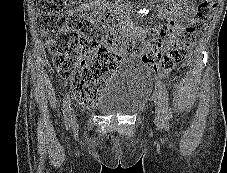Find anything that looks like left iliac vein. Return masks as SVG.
Listing matches in <instances>:
<instances>
[{"label": "left iliac vein", "instance_id": "4c4485c4", "mask_svg": "<svg viewBox=\"0 0 227 173\" xmlns=\"http://www.w3.org/2000/svg\"><path fill=\"white\" fill-rule=\"evenodd\" d=\"M153 99L155 103V121L157 124H163L164 123V118H165V113L163 110V102L162 99L157 91H154L153 93Z\"/></svg>", "mask_w": 227, "mask_h": 173}]
</instances>
